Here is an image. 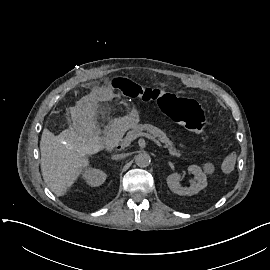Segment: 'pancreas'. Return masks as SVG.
I'll return each instance as SVG.
<instances>
[{"label": "pancreas", "mask_w": 270, "mask_h": 270, "mask_svg": "<svg viewBox=\"0 0 270 270\" xmlns=\"http://www.w3.org/2000/svg\"><path fill=\"white\" fill-rule=\"evenodd\" d=\"M145 131L157 137L158 141L160 143H163L164 147L169 150L170 155H172L173 157L182 158L181 151L176 149L175 144L170 141L168 136L157 127L149 124H140L138 126H135L132 130V132L137 133L138 136L142 135Z\"/></svg>", "instance_id": "pancreas-1"}]
</instances>
